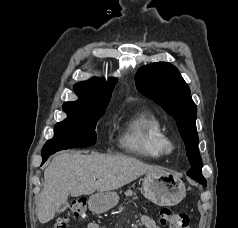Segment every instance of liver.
Segmentation results:
<instances>
[{
	"label": "liver",
	"instance_id": "1",
	"mask_svg": "<svg viewBox=\"0 0 238 228\" xmlns=\"http://www.w3.org/2000/svg\"><path fill=\"white\" fill-rule=\"evenodd\" d=\"M163 171L125 155L62 153L44 171V188L37 200V217L44 224L54 218L68 196L118 189L140 176Z\"/></svg>",
	"mask_w": 238,
	"mask_h": 228
}]
</instances>
